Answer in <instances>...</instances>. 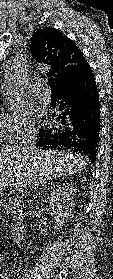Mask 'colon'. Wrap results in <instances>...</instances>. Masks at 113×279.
<instances>
[{"label":"colon","instance_id":"1","mask_svg":"<svg viewBox=\"0 0 113 279\" xmlns=\"http://www.w3.org/2000/svg\"><path fill=\"white\" fill-rule=\"evenodd\" d=\"M0 277H1V265H0Z\"/></svg>","mask_w":113,"mask_h":279}]
</instances>
